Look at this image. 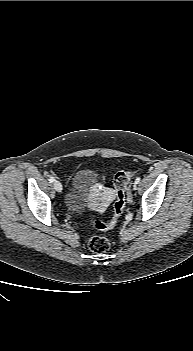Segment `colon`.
<instances>
[{
    "instance_id": "obj_1",
    "label": "colon",
    "mask_w": 193,
    "mask_h": 351,
    "mask_svg": "<svg viewBox=\"0 0 193 351\" xmlns=\"http://www.w3.org/2000/svg\"><path fill=\"white\" fill-rule=\"evenodd\" d=\"M134 175V170L120 171L115 175L114 195L116 196V201L114 204L113 218L109 222L94 220L93 226L96 230L107 231L118 223L124 212L129 183ZM88 247L95 253H104L111 248V241L104 236H93L88 240Z\"/></svg>"
}]
</instances>
